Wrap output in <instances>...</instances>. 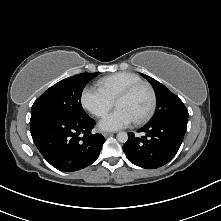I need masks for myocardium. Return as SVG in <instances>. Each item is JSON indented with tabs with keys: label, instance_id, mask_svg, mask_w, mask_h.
Returning a JSON list of instances; mask_svg holds the SVG:
<instances>
[{
	"label": "myocardium",
	"instance_id": "obj_1",
	"mask_svg": "<svg viewBox=\"0 0 221 221\" xmlns=\"http://www.w3.org/2000/svg\"><path fill=\"white\" fill-rule=\"evenodd\" d=\"M141 87L148 88L150 95H151V105L144 116L134 121L138 125L147 122L153 116L156 110L157 96H156V92L153 86L146 81H140V82L134 83L130 85L129 87H127L125 90H123L115 99V105H116L118 101L131 96L136 90H138Z\"/></svg>",
	"mask_w": 221,
	"mask_h": 221
}]
</instances>
